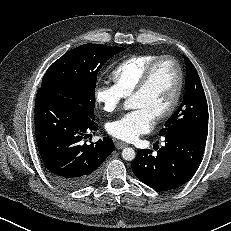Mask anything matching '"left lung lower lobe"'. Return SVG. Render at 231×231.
I'll return each mask as SVG.
<instances>
[{
	"mask_svg": "<svg viewBox=\"0 0 231 231\" xmlns=\"http://www.w3.org/2000/svg\"><path fill=\"white\" fill-rule=\"evenodd\" d=\"M164 144L157 151L139 150L132 162L137 178L158 191L176 189L195 173L205 150L207 134L189 131L161 136Z\"/></svg>",
	"mask_w": 231,
	"mask_h": 231,
	"instance_id": "1",
	"label": "left lung lower lobe"
}]
</instances>
